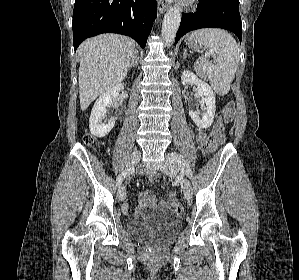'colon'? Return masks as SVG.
<instances>
[{"label": "colon", "instance_id": "1", "mask_svg": "<svg viewBox=\"0 0 299 280\" xmlns=\"http://www.w3.org/2000/svg\"><path fill=\"white\" fill-rule=\"evenodd\" d=\"M234 109V104L232 102L228 103L224 110L219 114L210 134L207 136L206 140L201 145L202 152L205 155L210 154L217 146L219 137L224 130L225 124L229 121L231 114ZM84 142L88 145L93 144L94 139L91 135L86 134L84 136ZM174 212L181 214L183 212V206L180 203L174 205Z\"/></svg>", "mask_w": 299, "mask_h": 280}]
</instances>
